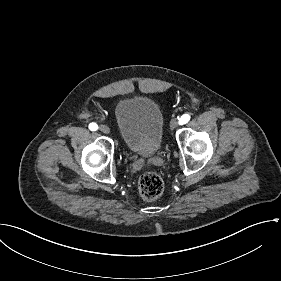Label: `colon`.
Listing matches in <instances>:
<instances>
[{
    "instance_id": "colon-1",
    "label": "colon",
    "mask_w": 281,
    "mask_h": 281,
    "mask_svg": "<svg viewBox=\"0 0 281 281\" xmlns=\"http://www.w3.org/2000/svg\"><path fill=\"white\" fill-rule=\"evenodd\" d=\"M138 188L145 199H155L164 189V181L157 172H147L139 178Z\"/></svg>"
}]
</instances>
